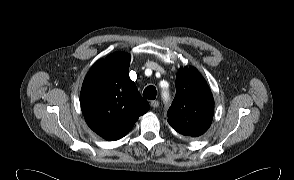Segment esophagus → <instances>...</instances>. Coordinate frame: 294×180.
Returning a JSON list of instances; mask_svg holds the SVG:
<instances>
[{"label":"esophagus","mask_w":294,"mask_h":180,"mask_svg":"<svg viewBox=\"0 0 294 180\" xmlns=\"http://www.w3.org/2000/svg\"><path fill=\"white\" fill-rule=\"evenodd\" d=\"M150 105H151V107H153V108H157V107L159 106V102H158V100H152V101L150 102Z\"/></svg>","instance_id":"esophagus-1"}]
</instances>
